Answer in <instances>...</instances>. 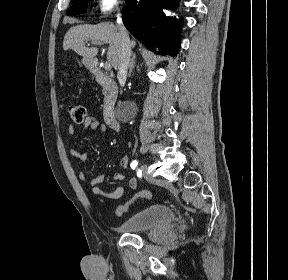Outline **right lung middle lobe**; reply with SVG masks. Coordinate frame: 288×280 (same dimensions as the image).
<instances>
[{
	"label": "right lung middle lobe",
	"instance_id": "dd1d6c3e",
	"mask_svg": "<svg viewBox=\"0 0 288 280\" xmlns=\"http://www.w3.org/2000/svg\"><path fill=\"white\" fill-rule=\"evenodd\" d=\"M87 7V0H74L73 6L68 10L67 15L84 13Z\"/></svg>",
	"mask_w": 288,
	"mask_h": 280
}]
</instances>
